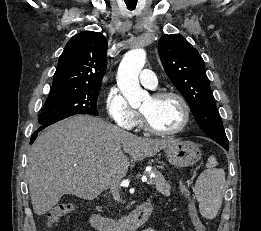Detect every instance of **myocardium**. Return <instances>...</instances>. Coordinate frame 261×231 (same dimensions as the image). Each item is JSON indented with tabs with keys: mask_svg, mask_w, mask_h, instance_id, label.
Instances as JSON below:
<instances>
[{
	"mask_svg": "<svg viewBox=\"0 0 261 231\" xmlns=\"http://www.w3.org/2000/svg\"><path fill=\"white\" fill-rule=\"evenodd\" d=\"M151 97H152V99H154L156 101L164 99V98H169V97L175 98L176 100H178V102L180 103V105L182 107L183 120H182L181 125L178 128L171 130V131H162V130H159L156 127H154L153 124L151 123V121L149 120L148 116L144 112L140 111L142 123H143L145 130L150 132L151 134L158 135V136H174V135H177V134L183 132L186 129V127L188 126V124L190 122V118H191L190 107H189V104L186 101V99L181 94L174 92V91L156 92Z\"/></svg>",
	"mask_w": 261,
	"mask_h": 231,
	"instance_id": "obj_1",
	"label": "myocardium"
}]
</instances>
